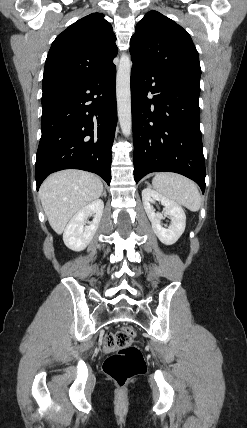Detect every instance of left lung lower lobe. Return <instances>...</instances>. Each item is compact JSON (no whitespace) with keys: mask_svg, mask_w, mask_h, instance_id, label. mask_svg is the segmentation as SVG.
<instances>
[{"mask_svg":"<svg viewBox=\"0 0 247 428\" xmlns=\"http://www.w3.org/2000/svg\"><path fill=\"white\" fill-rule=\"evenodd\" d=\"M132 62L135 182L151 172H176L194 180L204 193L200 90L166 79L146 64Z\"/></svg>","mask_w":247,"mask_h":428,"instance_id":"0a47b994","label":"left lung lower lobe"}]
</instances>
